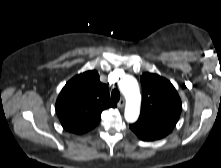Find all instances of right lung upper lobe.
I'll return each instance as SVG.
<instances>
[{
    "label": "right lung upper lobe",
    "mask_w": 221,
    "mask_h": 168,
    "mask_svg": "<svg viewBox=\"0 0 221 168\" xmlns=\"http://www.w3.org/2000/svg\"><path fill=\"white\" fill-rule=\"evenodd\" d=\"M116 106L110 100L108 86L91 70L66 83L57 98L56 113L65 130L82 134L98 125L103 110Z\"/></svg>",
    "instance_id": "cb5924a9"
}]
</instances>
